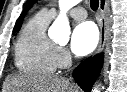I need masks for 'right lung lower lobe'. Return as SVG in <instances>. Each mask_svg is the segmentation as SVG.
Segmentation results:
<instances>
[{"label":"right lung lower lobe","instance_id":"obj_1","mask_svg":"<svg viewBox=\"0 0 127 92\" xmlns=\"http://www.w3.org/2000/svg\"><path fill=\"white\" fill-rule=\"evenodd\" d=\"M103 57L96 55L81 62L73 71L77 84L85 91L90 92L102 68Z\"/></svg>","mask_w":127,"mask_h":92}]
</instances>
